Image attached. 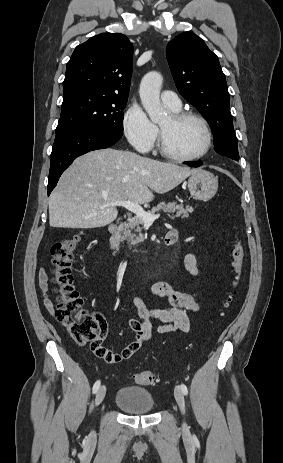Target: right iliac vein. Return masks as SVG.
Wrapping results in <instances>:
<instances>
[{
	"instance_id": "right-iliac-vein-1",
	"label": "right iliac vein",
	"mask_w": 283,
	"mask_h": 463,
	"mask_svg": "<svg viewBox=\"0 0 283 463\" xmlns=\"http://www.w3.org/2000/svg\"><path fill=\"white\" fill-rule=\"evenodd\" d=\"M105 394H106V387L103 385L101 386L97 393H96V397H95V405L98 406L102 403V401L104 400V397H105Z\"/></svg>"
}]
</instances>
